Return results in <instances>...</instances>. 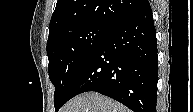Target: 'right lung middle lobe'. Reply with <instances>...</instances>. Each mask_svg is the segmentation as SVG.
I'll return each mask as SVG.
<instances>
[{"mask_svg": "<svg viewBox=\"0 0 193 112\" xmlns=\"http://www.w3.org/2000/svg\"><path fill=\"white\" fill-rule=\"evenodd\" d=\"M110 28L81 23L60 30L47 41L48 72L55 86L54 106L66 103L71 85L84 61Z\"/></svg>", "mask_w": 193, "mask_h": 112, "instance_id": "dd1d6c3e", "label": "right lung middle lobe"}]
</instances>
